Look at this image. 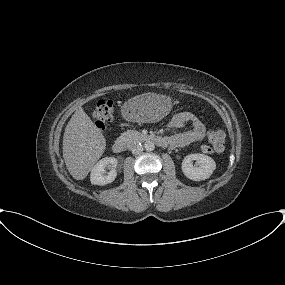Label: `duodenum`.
<instances>
[{"label":"duodenum","instance_id":"410a0bca","mask_svg":"<svg viewBox=\"0 0 285 285\" xmlns=\"http://www.w3.org/2000/svg\"><path fill=\"white\" fill-rule=\"evenodd\" d=\"M151 141L155 142L160 147H167L169 145L168 138L162 136H155L151 139ZM127 149L128 142L124 138H117L112 145V150L115 153H122Z\"/></svg>","mask_w":285,"mask_h":285}]
</instances>
